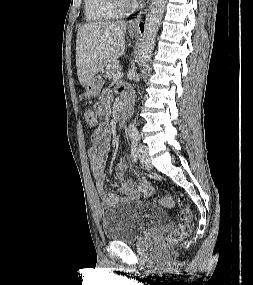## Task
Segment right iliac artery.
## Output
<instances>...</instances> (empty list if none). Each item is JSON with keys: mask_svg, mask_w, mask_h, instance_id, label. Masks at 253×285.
<instances>
[{"mask_svg": "<svg viewBox=\"0 0 253 285\" xmlns=\"http://www.w3.org/2000/svg\"><path fill=\"white\" fill-rule=\"evenodd\" d=\"M131 153H132L133 161L136 162L137 161V142L134 139L132 142Z\"/></svg>", "mask_w": 253, "mask_h": 285, "instance_id": "obj_1", "label": "right iliac artery"}]
</instances>
